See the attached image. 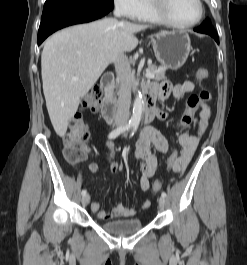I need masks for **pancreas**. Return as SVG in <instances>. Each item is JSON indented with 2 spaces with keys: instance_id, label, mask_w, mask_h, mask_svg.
<instances>
[{
  "instance_id": "obj_1",
  "label": "pancreas",
  "mask_w": 247,
  "mask_h": 265,
  "mask_svg": "<svg viewBox=\"0 0 247 265\" xmlns=\"http://www.w3.org/2000/svg\"><path fill=\"white\" fill-rule=\"evenodd\" d=\"M148 71L154 75L155 80L160 81L166 79L165 69L163 67L157 68L155 65H149ZM134 85H135V80L133 77H131L130 88L131 86L134 87ZM117 94H120V92H117Z\"/></svg>"
}]
</instances>
